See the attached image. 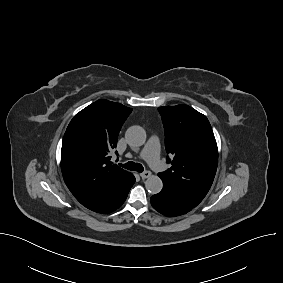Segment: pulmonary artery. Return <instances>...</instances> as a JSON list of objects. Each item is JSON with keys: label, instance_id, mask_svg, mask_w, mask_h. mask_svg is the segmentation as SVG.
<instances>
[{"label": "pulmonary artery", "instance_id": "obj_1", "mask_svg": "<svg viewBox=\"0 0 283 283\" xmlns=\"http://www.w3.org/2000/svg\"><path fill=\"white\" fill-rule=\"evenodd\" d=\"M159 151V138L153 135L149 138L140 154V157L145 159L149 163V165L156 171H161L164 167L162 161L160 160Z\"/></svg>", "mask_w": 283, "mask_h": 283}]
</instances>
